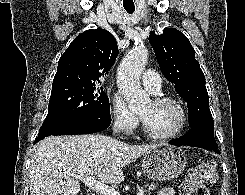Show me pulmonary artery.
Segmentation results:
<instances>
[{"instance_id":"pulmonary-artery-1","label":"pulmonary artery","mask_w":245,"mask_h":195,"mask_svg":"<svg viewBox=\"0 0 245 195\" xmlns=\"http://www.w3.org/2000/svg\"><path fill=\"white\" fill-rule=\"evenodd\" d=\"M143 86L152 94H157L161 90V78L159 74L151 69L143 71L141 76Z\"/></svg>"}]
</instances>
